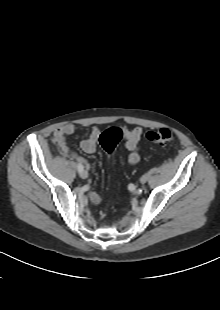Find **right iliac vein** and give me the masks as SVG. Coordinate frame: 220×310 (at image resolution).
Masks as SVG:
<instances>
[{
	"mask_svg": "<svg viewBox=\"0 0 220 310\" xmlns=\"http://www.w3.org/2000/svg\"><path fill=\"white\" fill-rule=\"evenodd\" d=\"M80 176L82 179H86L88 177V173L87 171L83 170L81 173H80Z\"/></svg>",
	"mask_w": 220,
	"mask_h": 310,
	"instance_id": "right-iliac-vein-1",
	"label": "right iliac vein"
}]
</instances>
